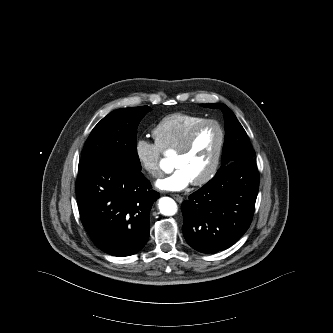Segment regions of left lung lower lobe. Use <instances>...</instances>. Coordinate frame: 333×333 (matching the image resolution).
<instances>
[{
    "label": "left lung lower lobe",
    "instance_id": "left-lung-lower-lobe-1",
    "mask_svg": "<svg viewBox=\"0 0 333 333\" xmlns=\"http://www.w3.org/2000/svg\"><path fill=\"white\" fill-rule=\"evenodd\" d=\"M258 187L253 158L219 169L181 205L182 230L188 244L202 253H215L234 244L250 226Z\"/></svg>",
    "mask_w": 333,
    "mask_h": 333
}]
</instances>
